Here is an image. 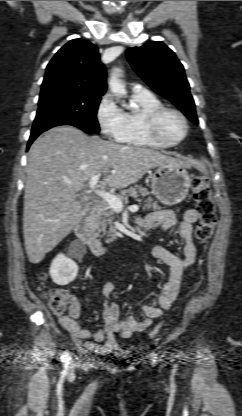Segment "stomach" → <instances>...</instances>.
<instances>
[{"instance_id": "obj_1", "label": "stomach", "mask_w": 242, "mask_h": 416, "mask_svg": "<svg viewBox=\"0 0 242 416\" xmlns=\"http://www.w3.org/2000/svg\"><path fill=\"white\" fill-rule=\"evenodd\" d=\"M190 176L177 164H162L151 177L152 194L164 205L172 206L183 201L189 191Z\"/></svg>"}]
</instances>
